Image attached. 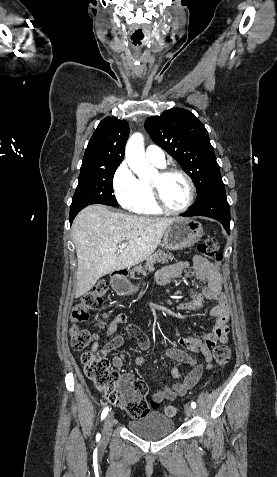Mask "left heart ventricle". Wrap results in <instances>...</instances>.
Listing matches in <instances>:
<instances>
[{
  "label": "left heart ventricle",
  "mask_w": 277,
  "mask_h": 477,
  "mask_svg": "<svg viewBox=\"0 0 277 477\" xmlns=\"http://www.w3.org/2000/svg\"><path fill=\"white\" fill-rule=\"evenodd\" d=\"M157 175L152 180L156 179ZM160 190L164 202L172 209L181 208L188 199L189 189L186 180L178 175L172 174L160 181Z\"/></svg>",
  "instance_id": "obj_1"
}]
</instances>
